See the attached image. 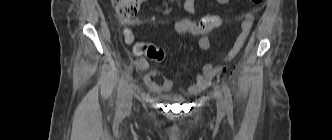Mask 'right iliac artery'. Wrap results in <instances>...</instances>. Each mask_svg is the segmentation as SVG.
Instances as JSON below:
<instances>
[{
  "instance_id": "1",
  "label": "right iliac artery",
  "mask_w": 332,
  "mask_h": 140,
  "mask_svg": "<svg viewBox=\"0 0 332 140\" xmlns=\"http://www.w3.org/2000/svg\"><path fill=\"white\" fill-rule=\"evenodd\" d=\"M133 66H129V68L127 69V71L124 73V75L121 77L120 81H119V85H118V94H117V108L118 110L121 109L122 107V98H123V93L125 90V86L127 83V79L130 76V73L132 72Z\"/></svg>"
}]
</instances>
